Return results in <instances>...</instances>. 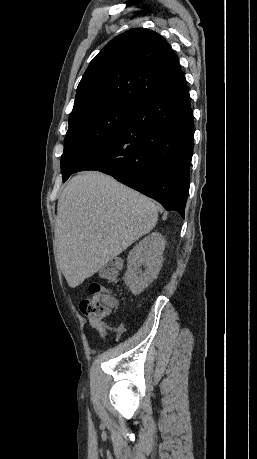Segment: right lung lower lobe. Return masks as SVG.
Listing matches in <instances>:
<instances>
[{
	"label": "right lung lower lobe",
	"mask_w": 257,
	"mask_h": 459,
	"mask_svg": "<svg viewBox=\"0 0 257 459\" xmlns=\"http://www.w3.org/2000/svg\"><path fill=\"white\" fill-rule=\"evenodd\" d=\"M193 140V113L183 76L138 105L129 124L75 172L111 175L184 218Z\"/></svg>",
	"instance_id": "right-lung-lower-lobe-1"
}]
</instances>
